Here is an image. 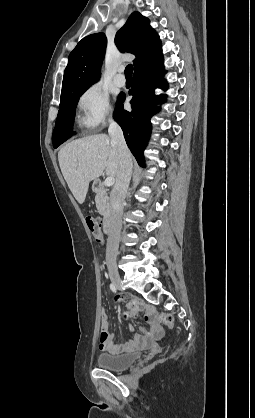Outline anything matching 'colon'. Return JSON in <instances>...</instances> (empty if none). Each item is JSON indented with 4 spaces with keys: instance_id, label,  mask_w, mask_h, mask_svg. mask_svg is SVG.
<instances>
[{
    "instance_id": "1",
    "label": "colon",
    "mask_w": 255,
    "mask_h": 418,
    "mask_svg": "<svg viewBox=\"0 0 255 418\" xmlns=\"http://www.w3.org/2000/svg\"><path fill=\"white\" fill-rule=\"evenodd\" d=\"M86 223L94 240L97 243L102 244L104 242V235L100 222L95 217L87 215ZM150 320L152 328L155 331H159L164 326L172 327L173 325V317L169 313L152 314Z\"/></svg>"
}]
</instances>
